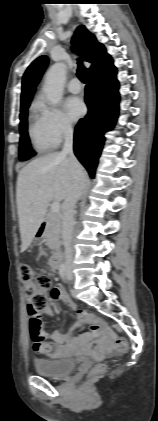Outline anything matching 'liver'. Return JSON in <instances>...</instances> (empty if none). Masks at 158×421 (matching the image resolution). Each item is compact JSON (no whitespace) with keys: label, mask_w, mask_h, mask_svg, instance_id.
Masks as SVG:
<instances>
[{"label":"liver","mask_w":158,"mask_h":421,"mask_svg":"<svg viewBox=\"0 0 158 421\" xmlns=\"http://www.w3.org/2000/svg\"><path fill=\"white\" fill-rule=\"evenodd\" d=\"M71 180L70 159L58 152L36 158L20 170L16 199L23 251L41 226L49 203L65 199Z\"/></svg>","instance_id":"obj_1"}]
</instances>
